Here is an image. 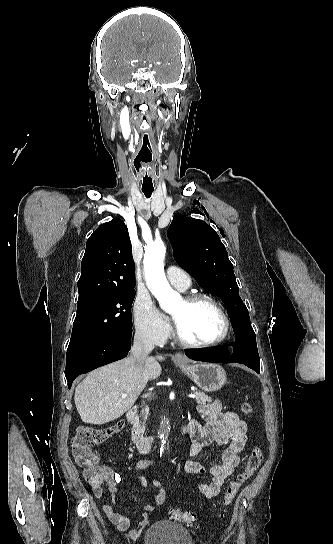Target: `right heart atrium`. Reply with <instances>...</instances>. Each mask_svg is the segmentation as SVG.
<instances>
[{
	"instance_id": "1",
	"label": "right heart atrium",
	"mask_w": 333,
	"mask_h": 544,
	"mask_svg": "<svg viewBox=\"0 0 333 544\" xmlns=\"http://www.w3.org/2000/svg\"><path fill=\"white\" fill-rule=\"evenodd\" d=\"M133 321L137 335L145 341L161 344L170 334L167 318L158 311L148 294L140 293L133 303Z\"/></svg>"
}]
</instances>
